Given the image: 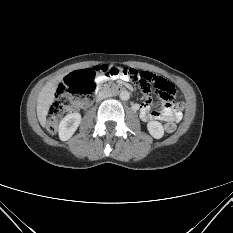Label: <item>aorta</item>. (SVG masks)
<instances>
[{
    "label": "aorta",
    "instance_id": "1",
    "mask_svg": "<svg viewBox=\"0 0 233 233\" xmlns=\"http://www.w3.org/2000/svg\"><path fill=\"white\" fill-rule=\"evenodd\" d=\"M120 99L123 101H127L130 98V93L127 90H124L119 95Z\"/></svg>",
    "mask_w": 233,
    "mask_h": 233
}]
</instances>
